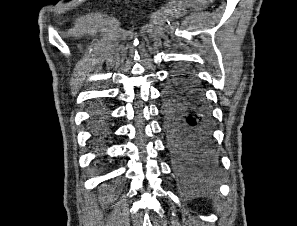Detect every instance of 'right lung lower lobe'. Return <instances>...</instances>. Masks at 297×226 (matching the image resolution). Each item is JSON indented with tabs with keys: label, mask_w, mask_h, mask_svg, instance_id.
<instances>
[{
	"label": "right lung lower lobe",
	"mask_w": 297,
	"mask_h": 226,
	"mask_svg": "<svg viewBox=\"0 0 297 226\" xmlns=\"http://www.w3.org/2000/svg\"><path fill=\"white\" fill-rule=\"evenodd\" d=\"M90 126L93 133V142L96 148L101 150L110 132L109 110L104 100H98L91 108Z\"/></svg>",
	"instance_id": "right-lung-lower-lobe-1"
}]
</instances>
